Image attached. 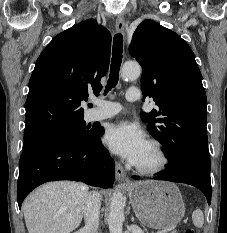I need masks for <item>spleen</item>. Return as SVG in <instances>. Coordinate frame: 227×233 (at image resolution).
I'll return each instance as SVG.
<instances>
[{
    "label": "spleen",
    "mask_w": 227,
    "mask_h": 233,
    "mask_svg": "<svg viewBox=\"0 0 227 233\" xmlns=\"http://www.w3.org/2000/svg\"><path fill=\"white\" fill-rule=\"evenodd\" d=\"M192 220L196 227L201 228L203 226L204 215L200 209H197L192 213Z\"/></svg>",
    "instance_id": "spleen-1"
}]
</instances>
